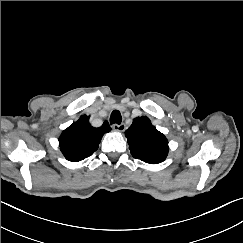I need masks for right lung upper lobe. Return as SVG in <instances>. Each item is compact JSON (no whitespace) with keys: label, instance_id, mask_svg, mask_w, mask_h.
<instances>
[{"label":"right lung upper lobe","instance_id":"cb5924a9","mask_svg":"<svg viewBox=\"0 0 243 243\" xmlns=\"http://www.w3.org/2000/svg\"><path fill=\"white\" fill-rule=\"evenodd\" d=\"M111 130L107 121L99 128L89 123V117L80 119L65 129L59 137V146L65 158L77 162L91 156L98 148L102 136Z\"/></svg>","mask_w":243,"mask_h":243}]
</instances>
